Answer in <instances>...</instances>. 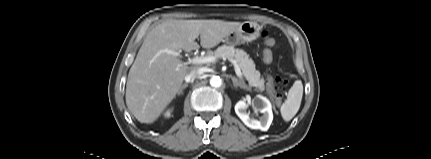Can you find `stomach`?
Here are the masks:
<instances>
[{"instance_id":"1","label":"stomach","mask_w":431,"mask_h":159,"mask_svg":"<svg viewBox=\"0 0 431 159\" xmlns=\"http://www.w3.org/2000/svg\"><path fill=\"white\" fill-rule=\"evenodd\" d=\"M262 27L253 21H246L240 24L235 30L225 37V42L230 45H239L257 39Z\"/></svg>"}]
</instances>
